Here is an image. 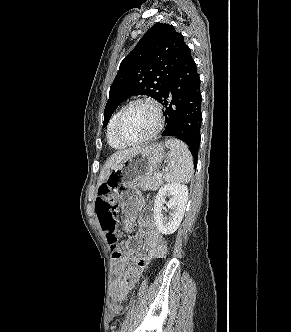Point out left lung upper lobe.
Wrapping results in <instances>:
<instances>
[{
  "instance_id": "1",
  "label": "left lung upper lobe",
  "mask_w": 291,
  "mask_h": 332,
  "mask_svg": "<svg viewBox=\"0 0 291 332\" xmlns=\"http://www.w3.org/2000/svg\"><path fill=\"white\" fill-rule=\"evenodd\" d=\"M186 47L183 35L172 25L154 24L120 64L104 110V126L115 109L133 95L159 101Z\"/></svg>"
}]
</instances>
